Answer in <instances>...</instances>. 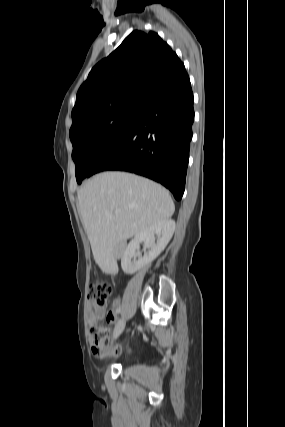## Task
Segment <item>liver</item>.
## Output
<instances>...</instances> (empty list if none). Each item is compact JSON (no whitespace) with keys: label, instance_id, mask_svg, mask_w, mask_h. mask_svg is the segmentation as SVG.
I'll return each instance as SVG.
<instances>
[{"label":"liver","instance_id":"1","mask_svg":"<svg viewBox=\"0 0 285 427\" xmlns=\"http://www.w3.org/2000/svg\"><path fill=\"white\" fill-rule=\"evenodd\" d=\"M78 209L96 263L116 264L119 244L171 218L169 192L146 178L125 172H103L77 192Z\"/></svg>","mask_w":285,"mask_h":427}]
</instances>
